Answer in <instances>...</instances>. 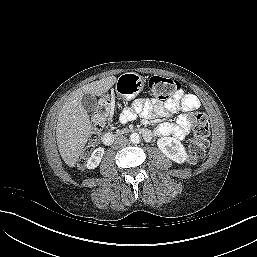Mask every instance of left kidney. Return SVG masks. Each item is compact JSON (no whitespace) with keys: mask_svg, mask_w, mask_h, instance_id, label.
<instances>
[{"mask_svg":"<svg viewBox=\"0 0 257 257\" xmlns=\"http://www.w3.org/2000/svg\"><path fill=\"white\" fill-rule=\"evenodd\" d=\"M157 146L161 152L176 163H184L187 160V153L183 144L173 137H162L158 139Z\"/></svg>","mask_w":257,"mask_h":257,"instance_id":"1","label":"left kidney"}]
</instances>
